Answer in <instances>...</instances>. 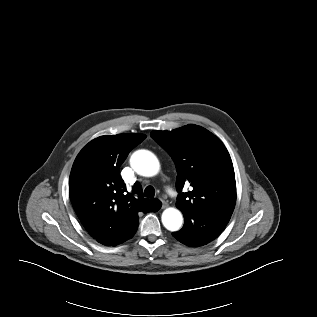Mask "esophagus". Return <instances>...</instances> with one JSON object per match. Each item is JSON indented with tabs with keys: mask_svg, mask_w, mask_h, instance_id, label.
<instances>
[{
	"mask_svg": "<svg viewBox=\"0 0 317 317\" xmlns=\"http://www.w3.org/2000/svg\"><path fill=\"white\" fill-rule=\"evenodd\" d=\"M167 207H168V203L162 200V208H167Z\"/></svg>",
	"mask_w": 317,
	"mask_h": 317,
	"instance_id": "esophagus-1",
	"label": "esophagus"
}]
</instances>
